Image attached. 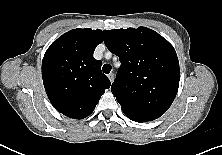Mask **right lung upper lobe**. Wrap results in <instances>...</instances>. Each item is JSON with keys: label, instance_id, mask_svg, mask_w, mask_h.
<instances>
[{"label": "right lung upper lobe", "instance_id": "1", "mask_svg": "<svg viewBox=\"0 0 222 155\" xmlns=\"http://www.w3.org/2000/svg\"><path fill=\"white\" fill-rule=\"evenodd\" d=\"M102 30L73 29L54 41L42 61V79L53 107L69 118L89 116L111 85L93 57Z\"/></svg>", "mask_w": 222, "mask_h": 155}]
</instances>
